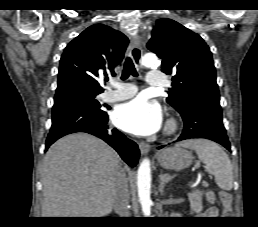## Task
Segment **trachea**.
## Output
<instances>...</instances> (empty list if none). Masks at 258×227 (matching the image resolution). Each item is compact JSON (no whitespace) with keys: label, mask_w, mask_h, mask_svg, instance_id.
<instances>
[{"label":"trachea","mask_w":258,"mask_h":227,"mask_svg":"<svg viewBox=\"0 0 258 227\" xmlns=\"http://www.w3.org/2000/svg\"><path fill=\"white\" fill-rule=\"evenodd\" d=\"M130 75L137 77L138 73L135 69V66L133 64V61L130 57H127L124 63V67H123V72H122V76L121 79L125 80L127 79Z\"/></svg>","instance_id":"trachea-1"}]
</instances>
